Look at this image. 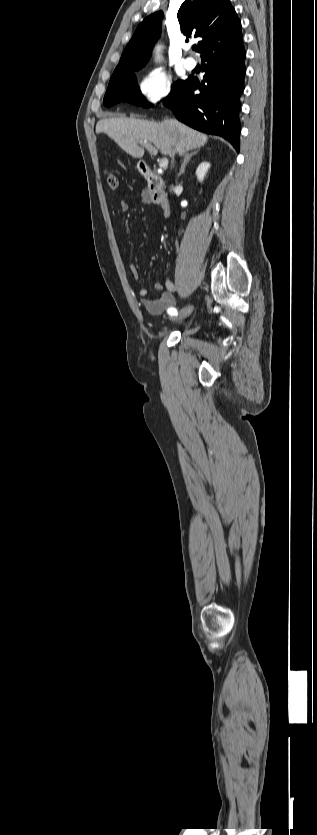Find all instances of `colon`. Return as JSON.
Here are the masks:
<instances>
[{"label":"colon","mask_w":317,"mask_h":835,"mask_svg":"<svg viewBox=\"0 0 317 835\" xmlns=\"http://www.w3.org/2000/svg\"><path fill=\"white\" fill-rule=\"evenodd\" d=\"M107 184L111 189H116L118 187V178L115 173H109L107 175Z\"/></svg>","instance_id":"1"}]
</instances>
